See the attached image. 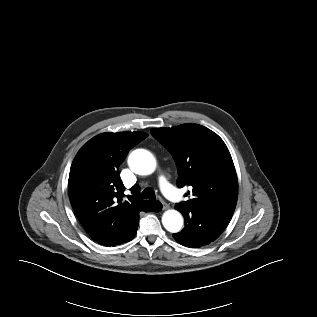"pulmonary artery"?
Returning a JSON list of instances; mask_svg holds the SVG:
<instances>
[{"label": "pulmonary artery", "instance_id": "obj_1", "mask_svg": "<svg viewBox=\"0 0 317 317\" xmlns=\"http://www.w3.org/2000/svg\"><path fill=\"white\" fill-rule=\"evenodd\" d=\"M159 185H160V188H161L163 194L167 198H169L173 201L180 200V198H181L180 194L178 193L176 188L171 183H169V181L164 176H161L159 178Z\"/></svg>", "mask_w": 317, "mask_h": 317}]
</instances>
